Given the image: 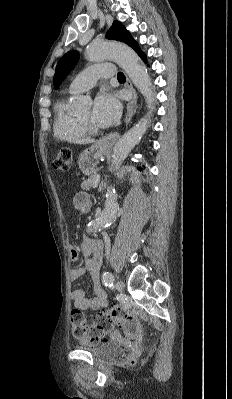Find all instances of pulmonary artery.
<instances>
[{
	"label": "pulmonary artery",
	"mask_w": 232,
	"mask_h": 399,
	"mask_svg": "<svg viewBox=\"0 0 232 399\" xmlns=\"http://www.w3.org/2000/svg\"><path fill=\"white\" fill-rule=\"evenodd\" d=\"M113 63H94L93 69H82L81 73H75L71 88L77 89V96H86L87 90H94L95 84H99L100 80H112L114 78Z\"/></svg>",
	"instance_id": "obj_1"
}]
</instances>
